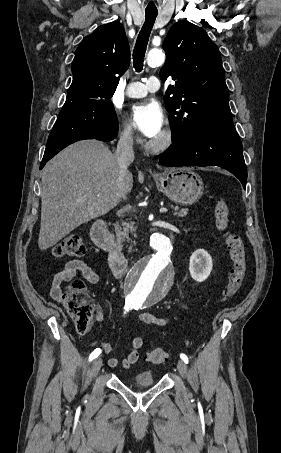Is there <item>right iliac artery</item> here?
<instances>
[{
	"label": "right iliac artery",
	"mask_w": 281,
	"mask_h": 453,
	"mask_svg": "<svg viewBox=\"0 0 281 453\" xmlns=\"http://www.w3.org/2000/svg\"><path fill=\"white\" fill-rule=\"evenodd\" d=\"M125 311H129L132 309V306L131 305H128V304H125V307H124ZM126 313V312H124ZM101 353V349L100 348H96L89 356V361H92L93 359L97 358L98 355Z\"/></svg>",
	"instance_id": "1"
}]
</instances>
